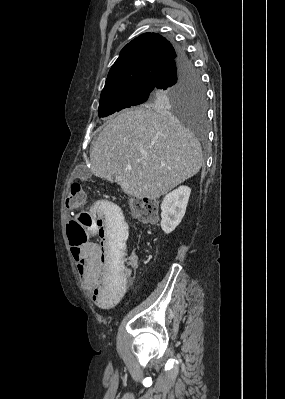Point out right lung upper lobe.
<instances>
[{"label":"right lung upper lobe","mask_w":285,"mask_h":399,"mask_svg":"<svg viewBox=\"0 0 285 399\" xmlns=\"http://www.w3.org/2000/svg\"><path fill=\"white\" fill-rule=\"evenodd\" d=\"M176 50L163 36L145 33L129 42L111 67L101 97L135 89H155Z\"/></svg>","instance_id":"1"}]
</instances>
